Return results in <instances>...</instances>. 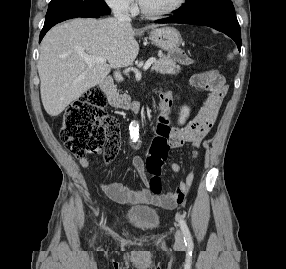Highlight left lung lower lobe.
I'll return each mask as SVG.
<instances>
[{
    "mask_svg": "<svg viewBox=\"0 0 286 269\" xmlns=\"http://www.w3.org/2000/svg\"><path fill=\"white\" fill-rule=\"evenodd\" d=\"M156 23H182L212 27L232 38L240 51L241 31L235 11H205L191 15L175 13L174 16L157 20Z\"/></svg>",
    "mask_w": 286,
    "mask_h": 269,
    "instance_id": "left-lung-lower-lobe-1",
    "label": "left lung lower lobe"
}]
</instances>
